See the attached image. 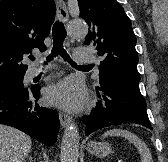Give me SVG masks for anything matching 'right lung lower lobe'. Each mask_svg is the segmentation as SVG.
Returning <instances> with one entry per match:
<instances>
[{
    "mask_svg": "<svg viewBox=\"0 0 168 162\" xmlns=\"http://www.w3.org/2000/svg\"><path fill=\"white\" fill-rule=\"evenodd\" d=\"M40 86L25 88L22 82L0 87V123L15 127L29 136L54 145L59 130L55 110L37 104Z\"/></svg>",
    "mask_w": 168,
    "mask_h": 162,
    "instance_id": "1",
    "label": "right lung lower lobe"
}]
</instances>
